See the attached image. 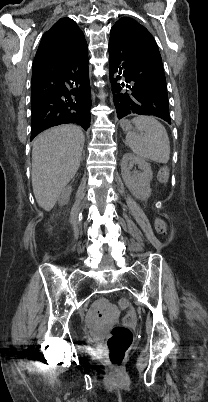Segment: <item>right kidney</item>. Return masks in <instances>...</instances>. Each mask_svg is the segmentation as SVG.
Masks as SVG:
<instances>
[{
	"mask_svg": "<svg viewBox=\"0 0 208 402\" xmlns=\"http://www.w3.org/2000/svg\"><path fill=\"white\" fill-rule=\"evenodd\" d=\"M71 190H72L71 186H68V188H64L59 200L60 206H64V204H67V202H69V196L71 194Z\"/></svg>",
	"mask_w": 208,
	"mask_h": 402,
	"instance_id": "obj_1",
	"label": "right kidney"
}]
</instances>
